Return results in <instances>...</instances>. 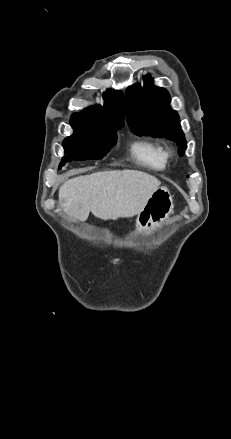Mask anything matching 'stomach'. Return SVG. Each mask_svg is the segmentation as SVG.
Wrapping results in <instances>:
<instances>
[{
    "label": "stomach",
    "instance_id": "obj_1",
    "mask_svg": "<svg viewBox=\"0 0 231 439\" xmlns=\"http://www.w3.org/2000/svg\"><path fill=\"white\" fill-rule=\"evenodd\" d=\"M173 199L170 190L159 187L149 198L136 219V229L139 232H151L162 227L173 212Z\"/></svg>",
    "mask_w": 231,
    "mask_h": 439
}]
</instances>
